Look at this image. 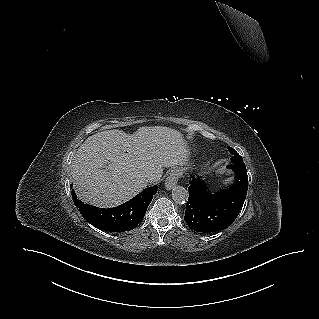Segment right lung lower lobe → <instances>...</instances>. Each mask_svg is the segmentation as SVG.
Returning <instances> with one entry per match:
<instances>
[{"label":"right lung lower lobe","mask_w":319,"mask_h":319,"mask_svg":"<svg viewBox=\"0 0 319 319\" xmlns=\"http://www.w3.org/2000/svg\"><path fill=\"white\" fill-rule=\"evenodd\" d=\"M157 186L146 188L128 202L110 209L87 205L77 199L72 191V198L83 218L93 226L110 232H124L134 229L145 216Z\"/></svg>","instance_id":"98d812e1"}]
</instances>
